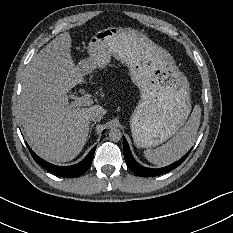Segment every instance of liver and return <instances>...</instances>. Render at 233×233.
Instances as JSON below:
<instances>
[{
    "label": "liver",
    "instance_id": "obj_1",
    "mask_svg": "<svg viewBox=\"0 0 233 233\" xmlns=\"http://www.w3.org/2000/svg\"><path fill=\"white\" fill-rule=\"evenodd\" d=\"M70 33L56 36L32 57L22 80L18 117L34 151L56 162L73 160L86 144L88 115L101 108L72 107L68 92L85 82L71 57Z\"/></svg>",
    "mask_w": 233,
    "mask_h": 233
}]
</instances>
